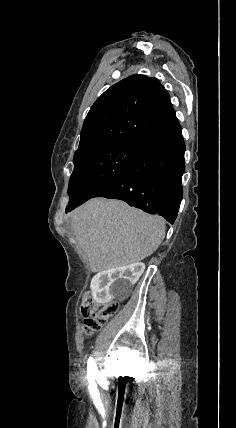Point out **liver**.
<instances>
[{"label": "liver", "mask_w": 236, "mask_h": 428, "mask_svg": "<svg viewBox=\"0 0 236 428\" xmlns=\"http://www.w3.org/2000/svg\"><path fill=\"white\" fill-rule=\"evenodd\" d=\"M72 230L92 272L128 266L158 250L165 222L121 200L92 198L70 214Z\"/></svg>", "instance_id": "1"}]
</instances>
